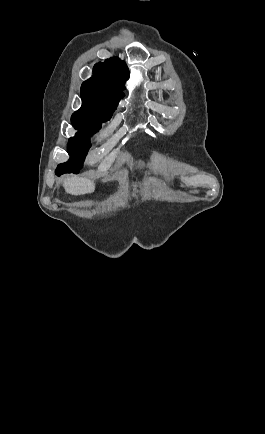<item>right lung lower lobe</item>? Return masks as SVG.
Returning a JSON list of instances; mask_svg holds the SVG:
<instances>
[{
    "label": "right lung lower lobe",
    "mask_w": 265,
    "mask_h": 434,
    "mask_svg": "<svg viewBox=\"0 0 265 434\" xmlns=\"http://www.w3.org/2000/svg\"><path fill=\"white\" fill-rule=\"evenodd\" d=\"M55 173H56V175L59 176L61 174L67 173V172H66V170H56Z\"/></svg>",
    "instance_id": "1"
}]
</instances>
